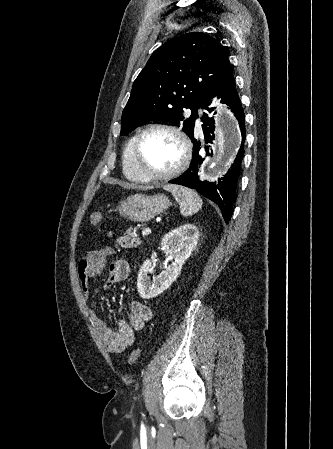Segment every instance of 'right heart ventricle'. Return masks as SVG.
Wrapping results in <instances>:
<instances>
[{
  "label": "right heart ventricle",
  "mask_w": 333,
  "mask_h": 449,
  "mask_svg": "<svg viewBox=\"0 0 333 449\" xmlns=\"http://www.w3.org/2000/svg\"><path fill=\"white\" fill-rule=\"evenodd\" d=\"M136 136H132L126 143L123 150V172L132 181H143L135 170L133 164V145Z\"/></svg>",
  "instance_id": "1"
}]
</instances>
